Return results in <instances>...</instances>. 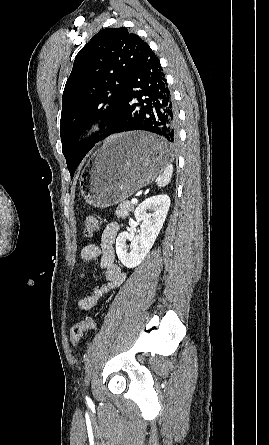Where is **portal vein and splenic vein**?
<instances>
[{
    "label": "portal vein and splenic vein",
    "instance_id": "1",
    "mask_svg": "<svg viewBox=\"0 0 269 445\" xmlns=\"http://www.w3.org/2000/svg\"><path fill=\"white\" fill-rule=\"evenodd\" d=\"M131 203H132V204H137V199H136V198H132V199H131Z\"/></svg>",
    "mask_w": 269,
    "mask_h": 445
}]
</instances>
